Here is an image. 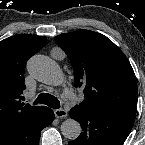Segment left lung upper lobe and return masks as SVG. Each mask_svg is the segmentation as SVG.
<instances>
[{
  "instance_id": "5c2ea615",
  "label": "left lung upper lobe",
  "mask_w": 145,
  "mask_h": 145,
  "mask_svg": "<svg viewBox=\"0 0 145 145\" xmlns=\"http://www.w3.org/2000/svg\"><path fill=\"white\" fill-rule=\"evenodd\" d=\"M56 44L69 57L76 87L85 100L75 107L92 112L136 114L137 82L124 53L106 36L89 31L61 34Z\"/></svg>"
}]
</instances>
